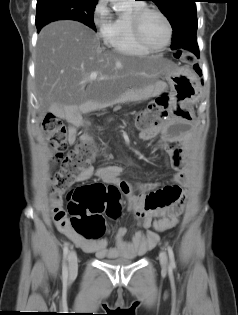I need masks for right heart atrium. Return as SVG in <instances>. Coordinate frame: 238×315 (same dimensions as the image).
Instances as JSON below:
<instances>
[{
    "label": "right heart atrium",
    "mask_w": 238,
    "mask_h": 315,
    "mask_svg": "<svg viewBox=\"0 0 238 315\" xmlns=\"http://www.w3.org/2000/svg\"><path fill=\"white\" fill-rule=\"evenodd\" d=\"M111 20L110 10L107 5V0H97L92 10V22L95 27L103 34Z\"/></svg>",
    "instance_id": "1"
}]
</instances>
